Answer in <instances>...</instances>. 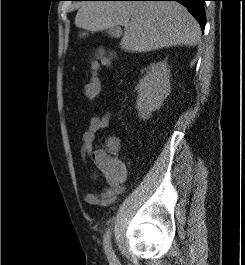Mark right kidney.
Returning <instances> with one entry per match:
<instances>
[{
	"label": "right kidney",
	"mask_w": 245,
	"mask_h": 265,
	"mask_svg": "<svg viewBox=\"0 0 245 265\" xmlns=\"http://www.w3.org/2000/svg\"><path fill=\"white\" fill-rule=\"evenodd\" d=\"M170 70L165 61L151 66L150 71L137 85L136 109L140 119H148L159 109L170 92Z\"/></svg>",
	"instance_id": "right-kidney-1"
}]
</instances>
